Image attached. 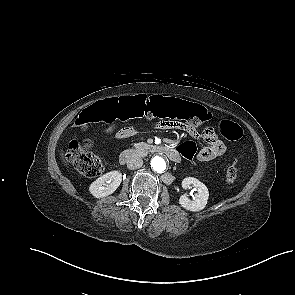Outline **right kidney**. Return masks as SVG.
<instances>
[{
	"label": "right kidney",
	"instance_id": "1",
	"mask_svg": "<svg viewBox=\"0 0 295 295\" xmlns=\"http://www.w3.org/2000/svg\"><path fill=\"white\" fill-rule=\"evenodd\" d=\"M122 181V173L119 171H110L91 183L89 192L95 198H103L112 193L119 187Z\"/></svg>",
	"mask_w": 295,
	"mask_h": 295
}]
</instances>
